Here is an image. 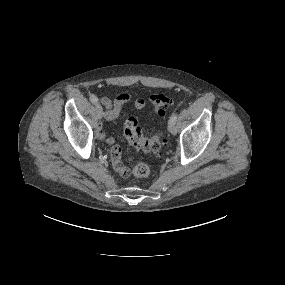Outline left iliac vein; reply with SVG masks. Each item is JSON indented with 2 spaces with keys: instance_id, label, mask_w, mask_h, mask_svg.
<instances>
[{
  "instance_id": "1",
  "label": "left iliac vein",
  "mask_w": 285,
  "mask_h": 285,
  "mask_svg": "<svg viewBox=\"0 0 285 285\" xmlns=\"http://www.w3.org/2000/svg\"><path fill=\"white\" fill-rule=\"evenodd\" d=\"M175 123L176 122L172 120H169V123H168V129L172 134H175L177 132V127Z\"/></svg>"
}]
</instances>
